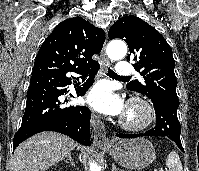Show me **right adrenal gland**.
<instances>
[{"mask_svg": "<svg viewBox=\"0 0 199 171\" xmlns=\"http://www.w3.org/2000/svg\"><path fill=\"white\" fill-rule=\"evenodd\" d=\"M64 162L70 163L73 167H75V163H74V161H73L72 156H71L70 153L68 154L67 158L64 159Z\"/></svg>", "mask_w": 199, "mask_h": 171, "instance_id": "1", "label": "right adrenal gland"}]
</instances>
